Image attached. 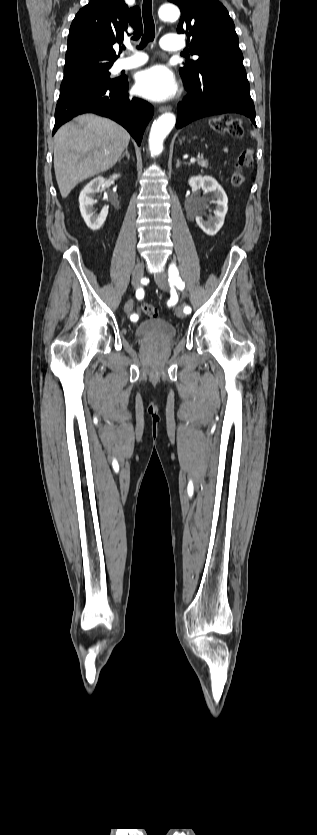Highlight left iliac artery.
<instances>
[{
  "mask_svg": "<svg viewBox=\"0 0 317 835\" xmlns=\"http://www.w3.org/2000/svg\"><path fill=\"white\" fill-rule=\"evenodd\" d=\"M169 281H170L171 286L176 285V287L179 290H183L184 287H185V283L180 278L178 270H177L175 265H171L170 268H169ZM184 312L187 313V314L191 313V307L188 306V305L185 306L184 307Z\"/></svg>",
  "mask_w": 317,
  "mask_h": 835,
  "instance_id": "44dca946",
  "label": "left iliac artery"
}]
</instances>
